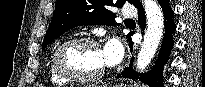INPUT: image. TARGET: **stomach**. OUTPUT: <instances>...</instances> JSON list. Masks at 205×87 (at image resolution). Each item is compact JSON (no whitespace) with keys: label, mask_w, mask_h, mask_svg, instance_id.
Listing matches in <instances>:
<instances>
[{"label":"stomach","mask_w":205,"mask_h":87,"mask_svg":"<svg viewBox=\"0 0 205 87\" xmlns=\"http://www.w3.org/2000/svg\"><path fill=\"white\" fill-rule=\"evenodd\" d=\"M90 87H94V86H90ZM115 87H132L131 85H123V84H119V85H116Z\"/></svg>","instance_id":"1"}]
</instances>
